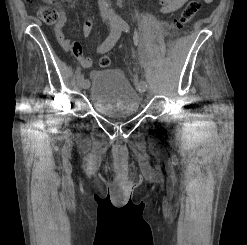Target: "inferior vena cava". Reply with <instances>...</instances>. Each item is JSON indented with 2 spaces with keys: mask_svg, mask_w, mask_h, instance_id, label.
<instances>
[{
  "mask_svg": "<svg viewBox=\"0 0 247 245\" xmlns=\"http://www.w3.org/2000/svg\"><path fill=\"white\" fill-rule=\"evenodd\" d=\"M98 5H99L101 17H102L103 21H106L108 19L106 1L105 0H98Z\"/></svg>",
  "mask_w": 247,
  "mask_h": 245,
  "instance_id": "1",
  "label": "inferior vena cava"
}]
</instances>
